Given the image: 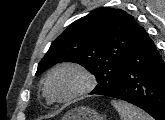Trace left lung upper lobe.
<instances>
[{
	"instance_id": "left-lung-upper-lobe-1",
	"label": "left lung upper lobe",
	"mask_w": 165,
	"mask_h": 120,
	"mask_svg": "<svg viewBox=\"0 0 165 120\" xmlns=\"http://www.w3.org/2000/svg\"><path fill=\"white\" fill-rule=\"evenodd\" d=\"M144 33L121 9H95L52 42L36 75L56 63L75 62L95 75L98 84L91 94L106 95L120 85L126 58Z\"/></svg>"
}]
</instances>
